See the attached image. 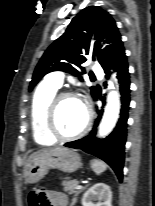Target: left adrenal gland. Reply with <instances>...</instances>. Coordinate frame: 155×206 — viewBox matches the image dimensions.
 I'll return each mask as SVG.
<instances>
[{
    "mask_svg": "<svg viewBox=\"0 0 155 206\" xmlns=\"http://www.w3.org/2000/svg\"><path fill=\"white\" fill-rule=\"evenodd\" d=\"M84 189H85V188H83L82 190H80L78 193H76V194L74 195V197L72 198V202H71L70 206H73V205L76 204L79 193H80L81 191H83Z\"/></svg>",
    "mask_w": 155,
    "mask_h": 206,
    "instance_id": "1",
    "label": "left adrenal gland"
}]
</instances>
